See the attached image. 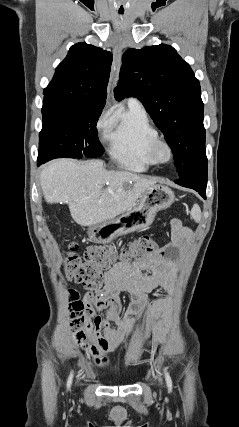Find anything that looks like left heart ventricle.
<instances>
[{
	"label": "left heart ventricle",
	"instance_id": "b2bd125f",
	"mask_svg": "<svg viewBox=\"0 0 239 427\" xmlns=\"http://www.w3.org/2000/svg\"><path fill=\"white\" fill-rule=\"evenodd\" d=\"M158 155L160 158H163V159L166 158V156H167L166 149L164 147H160L159 151H158Z\"/></svg>",
	"mask_w": 239,
	"mask_h": 427
}]
</instances>
